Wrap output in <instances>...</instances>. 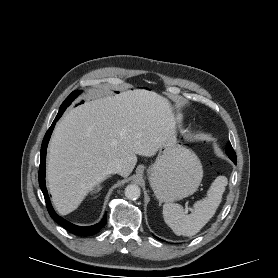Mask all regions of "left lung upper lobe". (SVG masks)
<instances>
[{
	"label": "left lung upper lobe",
	"mask_w": 278,
	"mask_h": 278,
	"mask_svg": "<svg viewBox=\"0 0 278 278\" xmlns=\"http://www.w3.org/2000/svg\"><path fill=\"white\" fill-rule=\"evenodd\" d=\"M226 153H227V155L229 156V158H230L231 160H237V159H236V154H235V152H234V150H233V148H232L230 142H228V144H227V146H226Z\"/></svg>",
	"instance_id": "5c2ea615"
}]
</instances>
